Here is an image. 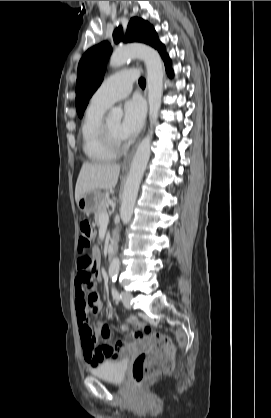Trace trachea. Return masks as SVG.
Here are the masks:
<instances>
[{
  "instance_id": "1",
  "label": "trachea",
  "mask_w": 271,
  "mask_h": 418,
  "mask_svg": "<svg viewBox=\"0 0 271 418\" xmlns=\"http://www.w3.org/2000/svg\"><path fill=\"white\" fill-rule=\"evenodd\" d=\"M139 85H140L141 87H143V88L146 86V81H145V79H144V78H142V77H141V78L139 79Z\"/></svg>"
}]
</instances>
